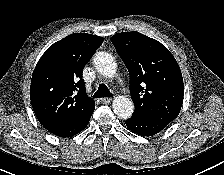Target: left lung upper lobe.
<instances>
[{
	"label": "left lung upper lobe",
	"mask_w": 224,
	"mask_h": 175,
	"mask_svg": "<svg viewBox=\"0 0 224 175\" xmlns=\"http://www.w3.org/2000/svg\"><path fill=\"white\" fill-rule=\"evenodd\" d=\"M130 73L133 116L173 121L184 95L183 78L173 55L160 42L139 32L111 37Z\"/></svg>",
	"instance_id": "5c2ea615"
}]
</instances>
